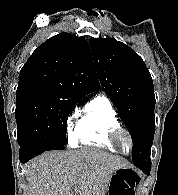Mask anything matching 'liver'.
I'll list each match as a JSON object with an SVG mask.
<instances>
[{"label":"liver","instance_id":"obj_1","mask_svg":"<svg viewBox=\"0 0 178 195\" xmlns=\"http://www.w3.org/2000/svg\"><path fill=\"white\" fill-rule=\"evenodd\" d=\"M128 167L95 148L45 152L25 166L27 195H105L114 171Z\"/></svg>","mask_w":178,"mask_h":195}]
</instances>
